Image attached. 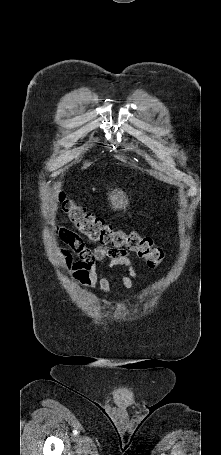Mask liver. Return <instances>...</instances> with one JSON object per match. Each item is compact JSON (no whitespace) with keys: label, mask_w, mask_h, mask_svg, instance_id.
Segmentation results:
<instances>
[{"label":"liver","mask_w":221,"mask_h":455,"mask_svg":"<svg viewBox=\"0 0 221 455\" xmlns=\"http://www.w3.org/2000/svg\"><path fill=\"white\" fill-rule=\"evenodd\" d=\"M108 200L111 203V208L116 210L126 209L128 206V198L126 194L120 189H114L108 193Z\"/></svg>","instance_id":"liver-1"}]
</instances>
